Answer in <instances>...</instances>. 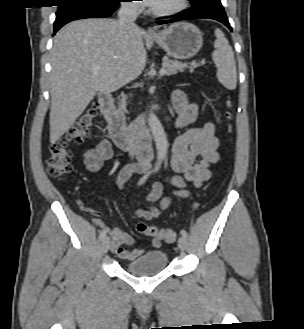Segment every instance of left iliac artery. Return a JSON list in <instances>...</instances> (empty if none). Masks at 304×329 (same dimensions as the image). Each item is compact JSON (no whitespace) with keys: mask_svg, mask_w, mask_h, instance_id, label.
<instances>
[{"mask_svg":"<svg viewBox=\"0 0 304 329\" xmlns=\"http://www.w3.org/2000/svg\"><path fill=\"white\" fill-rule=\"evenodd\" d=\"M180 233H181V235H182L183 237H185V238L188 236L187 231L184 230V229H182V230L180 231Z\"/></svg>","mask_w":304,"mask_h":329,"instance_id":"obj_1","label":"left iliac artery"}]
</instances>
